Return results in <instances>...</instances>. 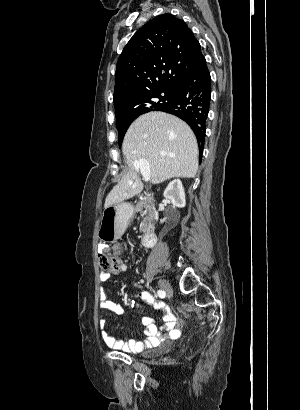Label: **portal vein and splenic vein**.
I'll return each mask as SVG.
<instances>
[{
	"mask_svg": "<svg viewBox=\"0 0 300 410\" xmlns=\"http://www.w3.org/2000/svg\"><path fill=\"white\" fill-rule=\"evenodd\" d=\"M134 166L136 170H140L145 182L150 181V168L147 160H139L134 163Z\"/></svg>",
	"mask_w": 300,
	"mask_h": 410,
	"instance_id": "18ae733b",
	"label": "portal vein and splenic vein"
}]
</instances>
